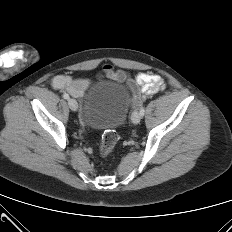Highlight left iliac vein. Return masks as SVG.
Listing matches in <instances>:
<instances>
[{"mask_svg":"<svg viewBox=\"0 0 232 232\" xmlns=\"http://www.w3.org/2000/svg\"><path fill=\"white\" fill-rule=\"evenodd\" d=\"M132 123L138 124L141 120V114L135 111L131 116Z\"/></svg>","mask_w":232,"mask_h":232,"instance_id":"4c4485c4","label":"left iliac vein"}]
</instances>
